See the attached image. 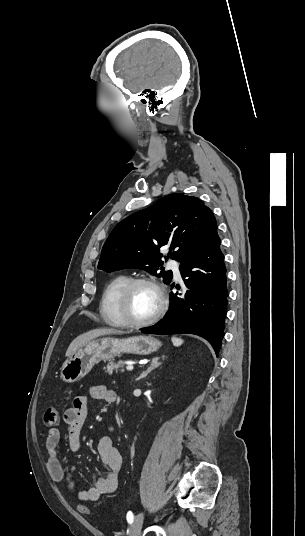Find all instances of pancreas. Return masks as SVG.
I'll return each instance as SVG.
<instances>
[{
	"mask_svg": "<svg viewBox=\"0 0 305 536\" xmlns=\"http://www.w3.org/2000/svg\"><path fill=\"white\" fill-rule=\"evenodd\" d=\"M123 366V362H117V364H115V362H109V364H107V368H104V370H106L108 374H113L114 370L117 372L118 368H123Z\"/></svg>",
	"mask_w": 305,
	"mask_h": 536,
	"instance_id": "1",
	"label": "pancreas"
}]
</instances>
